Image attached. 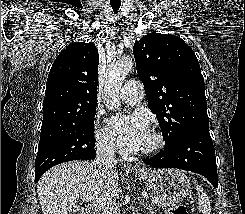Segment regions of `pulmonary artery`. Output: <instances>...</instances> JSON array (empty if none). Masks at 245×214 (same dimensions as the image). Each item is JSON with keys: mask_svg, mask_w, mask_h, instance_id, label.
<instances>
[{"mask_svg": "<svg viewBox=\"0 0 245 214\" xmlns=\"http://www.w3.org/2000/svg\"><path fill=\"white\" fill-rule=\"evenodd\" d=\"M120 99L131 105L138 104L143 98V85L140 81L130 80L120 90Z\"/></svg>", "mask_w": 245, "mask_h": 214, "instance_id": "e3ab8cb5", "label": "pulmonary artery"}]
</instances>
